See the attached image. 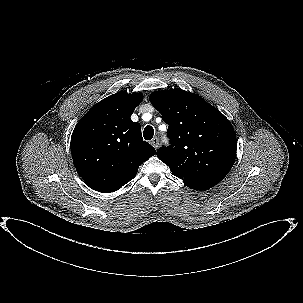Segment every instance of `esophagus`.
I'll return each mask as SVG.
<instances>
[{
    "instance_id": "obj_1",
    "label": "esophagus",
    "mask_w": 303,
    "mask_h": 303,
    "mask_svg": "<svg viewBox=\"0 0 303 303\" xmlns=\"http://www.w3.org/2000/svg\"><path fill=\"white\" fill-rule=\"evenodd\" d=\"M151 145H152L155 149H157L158 146H159V139H158L157 137L153 138V139L151 140Z\"/></svg>"
}]
</instances>
